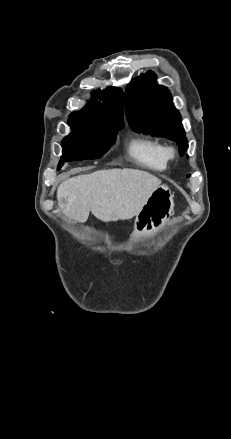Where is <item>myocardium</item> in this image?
Masks as SVG:
<instances>
[{
  "instance_id": "f54148a6",
  "label": "myocardium",
  "mask_w": 231,
  "mask_h": 439,
  "mask_svg": "<svg viewBox=\"0 0 231 439\" xmlns=\"http://www.w3.org/2000/svg\"><path fill=\"white\" fill-rule=\"evenodd\" d=\"M165 152L168 159H173L176 156V149L173 146H166Z\"/></svg>"
}]
</instances>
